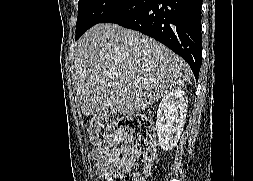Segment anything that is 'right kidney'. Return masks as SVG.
I'll use <instances>...</instances> for the list:
<instances>
[{"mask_svg":"<svg viewBox=\"0 0 253 181\" xmlns=\"http://www.w3.org/2000/svg\"><path fill=\"white\" fill-rule=\"evenodd\" d=\"M185 94L180 89H173L159 104L156 131L159 145L164 151L175 147L183 131L188 105Z\"/></svg>","mask_w":253,"mask_h":181,"instance_id":"obj_1","label":"right kidney"}]
</instances>
